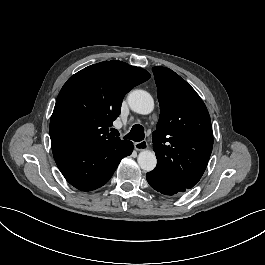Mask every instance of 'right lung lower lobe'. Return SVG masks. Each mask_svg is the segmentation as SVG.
I'll list each match as a JSON object with an SVG mask.
<instances>
[{"label":"right lung lower lobe","instance_id":"right-lung-lower-lobe-1","mask_svg":"<svg viewBox=\"0 0 265 265\" xmlns=\"http://www.w3.org/2000/svg\"><path fill=\"white\" fill-rule=\"evenodd\" d=\"M133 143L116 140L99 145L52 143L55 162L65 179L81 191L95 190L109 181Z\"/></svg>","mask_w":265,"mask_h":265}]
</instances>
